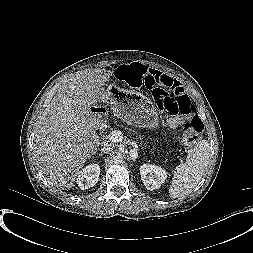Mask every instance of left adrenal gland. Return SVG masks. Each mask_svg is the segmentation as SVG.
<instances>
[{
  "mask_svg": "<svg viewBox=\"0 0 253 253\" xmlns=\"http://www.w3.org/2000/svg\"><path fill=\"white\" fill-rule=\"evenodd\" d=\"M130 158H131L133 161H135V160H136V158H134V157H132V156H131Z\"/></svg>",
  "mask_w": 253,
  "mask_h": 253,
  "instance_id": "a2214340",
  "label": "left adrenal gland"
}]
</instances>
